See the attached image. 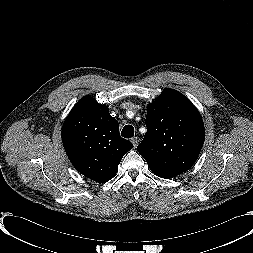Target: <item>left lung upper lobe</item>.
I'll use <instances>...</instances> for the list:
<instances>
[{"instance_id":"1","label":"left lung upper lobe","mask_w":253,"mask_h":253,"mask_svg":"<svg viewBox=\"0 0 253 253\" xmlns=\"http://www.w3.org/2000/svg\"><path fill=\"white\" fill-rule=\"evenodd\" d=\"M146 126L137 151L156 176L172 178L193 165L202 149L205 131L199 112L187 97L166 89L148 105Z\"/></svg>"}]
</instances>
